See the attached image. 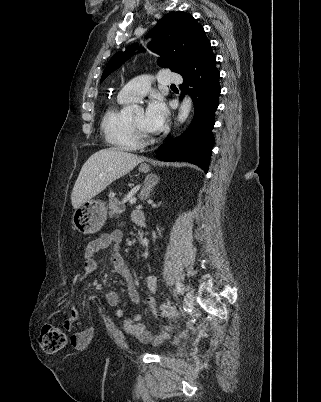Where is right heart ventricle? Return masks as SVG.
<instances>
[{"instance_id":"right-heart-ventricle-1","label":"right heart ventricle","mask_w":321,"mask_h":402,"mask_svg":"<svg viewBox=\"0 0 321 402\" xmlns=\"http://www.w3.org/2000/svg\"><path fill=\"white\" fill-rule=\"evenodd\" d=\"M126 103L117 99L116 103L106 109L101 121V131L106 142L113 148L134 151L140 144L130 131L128 120L121 113V107Z\"/></svg>"}]
</instances>
